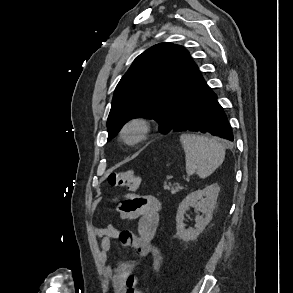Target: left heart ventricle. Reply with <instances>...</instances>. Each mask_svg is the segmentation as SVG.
<instances>
[{"label":"left heart ventricle","mask_w":293,"mask_h":293,"mask_svg":"<svg viewBox=\"0 0 293 293\" xmlns=\"http://www.w3.org/2000/svg\"><path fill=\"white\" fill-rule=\"evenodd\" d=\"M137 134H138V132H137L136 129H131V130H129V131L127 132L126 137H127V139H129V140H133V139H135V138L137 137Z\"/></svg>","instance_id":"1"}]
</instances>
